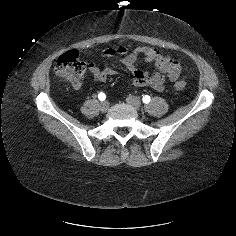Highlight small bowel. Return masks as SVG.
<instances>
[{"mask_svg":"<svg viewBox=\"0 0 236 236\" xmlns=\"http://www.w3.org/2000/svg\"><path fill=\"white\" fill-rule=\"evenodd\" d=\"M101 55L104 57L121 56L120 64L132 72L133 77L130 83L136 87H149L160 92L164 89L165 81L174 82L181 74V66L176 60L149 45L138 46L132 51L124 45L105 48L101 51ZM140 57L155 65L156 71L153 74H148L135 66ZM89 71L95 82H104L117 73L114 67L101 69L93 62L89 64Z\"/></svg>","mask_w":236,"mask_h":236,"instance_id":"small-bowel-1","label":"small bowel"}]
</instances>
